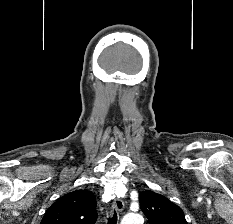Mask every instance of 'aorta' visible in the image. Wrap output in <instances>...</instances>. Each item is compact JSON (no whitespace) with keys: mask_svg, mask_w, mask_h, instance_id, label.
Listing matches in <instances>:
<instances>
[{"mask_svg":"<svg viewBox=\"0 0 233 224\" xmlns=\"http://www.w3.org/2000/svg\"><path fill=\"white\" fill-rule=\"evenodd\" d=\"M121 224H143V218L137 213H129L124 216Z\"/></svg>","mask_w":233,"mask_h":224,"instance_id":"762f6f07","label":"aorta"}]
</instances>
